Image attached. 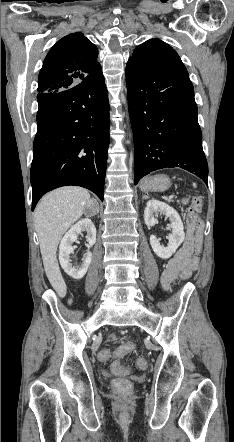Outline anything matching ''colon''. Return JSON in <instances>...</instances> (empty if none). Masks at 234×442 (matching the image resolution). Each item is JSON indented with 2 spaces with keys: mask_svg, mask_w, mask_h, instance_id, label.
Segmentation results:
<instances>
[{
  "mask_svg": "<svg viewBox=\"0 0 234 442\" xmlns=\"http://www.w3.org/2000/svg\"><path fill=\"white\" fill-rule=\"evenodd\" d=\"M203 206V198L201 196H195L191 202L189 213L192 217L191 222V234H190V242L194 243V247L197 252L200 251L201 243H202V222L197 218V215L200 213ZM201 262L200 256L197 253L192 254L191 261L188 262V266L181 274L182 280H188L192 274L197 273L199 264ZM134 345L129 341H124L122 344L116 347H101L98 350V358L100 361L106 362L110 360H114L111 369L116 375H126L130 372V367L119 359L127 353L132 352ZM136 367L139 369H143L146 365V361L144 357H136L134 359ZM113 388L117 389L120 392H126L128 389L133 388L132 380H124L118 379L113 381Z\"/></svg>",
  "mask_w": 234,
  "mask_h": 442,
  "instance_id": "1",
  "label": "colon"
}]
</instances>
